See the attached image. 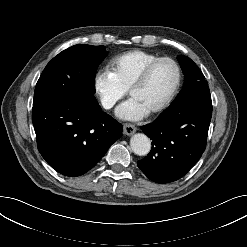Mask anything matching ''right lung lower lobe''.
<instances>
[{"mask_svg": "<svg viewBox=\"0 0 247 247\" xmlns=\"http://www.w3.org/2000/svg\"><path fill=\"white\" fill-rule=\"evenodd\" d=\"M32 122L45 161L74 177L93 168L123 131L99 105L82 106L62 95L33 106Z\"/></svg>", "mask_w": 247, "mask_h": 247, "instance_id": "right-lung-lower-lobe-1", "label": "right lung lower lobe"}]
</instances>
